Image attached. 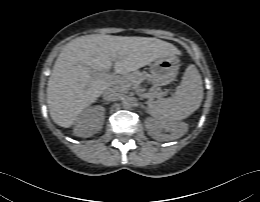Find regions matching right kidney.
I'll list each match as a JSON object with an SVG mask.
<instances>
[{"instance_id": "obj_1", "label": "right kidney", "mask_w": 260, "mask_h": 202, "mask_svg": "<svg viewBox=\"0 0 260 202\" xmlns=\"http://www.w3.org/2000/svg\"><path fill=\"white\" fill-rule=\"evenodd\" d=\"M105 109L93 106L84 110L75 120L74 134L79 137H89L99 132L103 126Z\"/></svg>"}]
</instances>
